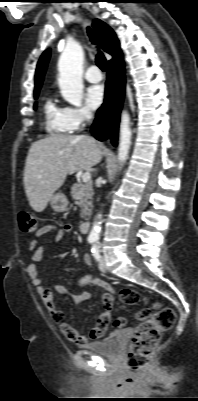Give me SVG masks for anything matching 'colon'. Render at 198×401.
Returning <instances> with one entry per match:
<instances>
[{"instance_id":"1","label":"colon","mask_w":198,"mask_h":401,"mask_svg":"<svg viewBox=\"0 0 198 401\" xmlns=\"http://www.w3.org/2000/svg\"><path fill=\"white\" fill-rule=\"evenodd\" d=\"M19 228L22 232L33 234L37 231V220L28 211H20L17 215ZM120 300L126 305H136L140 301V294L133 289L126 288L120 292ZM154 311L142 308L135 314L139 322L127 352V366L132 371L145 368L150 362L154 351L164 331L169 330L175 323L176 315L172 308L153 304ZM126 325L124 317H117L113 322L116 329Z\"/></svg>"}]
</instances>
